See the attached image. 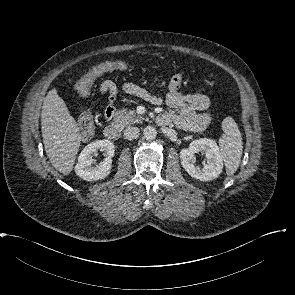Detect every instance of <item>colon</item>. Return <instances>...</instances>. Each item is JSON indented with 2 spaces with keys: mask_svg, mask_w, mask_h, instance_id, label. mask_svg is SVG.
I'll use <instances>...</instances> for the list:
<instances>
[{
  "mask_svg": "<svg viewBox=\"0 0 295 295\" xmlns=\"http://www.w3.org/2000/svg\"><path fill=\"white\" fill-rule=\"evenodd\" d=\"M128 67V65L125 62L122 61H107L104 63L99 64L92 70H90L84 79L81 82V91L83 94H88L93 82L95 79L103 73L107 72H113V71H119L124 70ZM173 83L179 84L181 82V79L179 76H176L172 79ZM79 125L80 129L83 134L90 135L92 134L94 130V117L91 112L85 111L81 114L79 119Z\"/></svg>",
  "mask_w": 295,
  "mask_h": 295,
  "instance_id": "5ec220e1",
  "label": "colon"
}]
</instances>
